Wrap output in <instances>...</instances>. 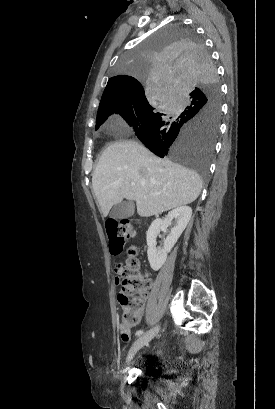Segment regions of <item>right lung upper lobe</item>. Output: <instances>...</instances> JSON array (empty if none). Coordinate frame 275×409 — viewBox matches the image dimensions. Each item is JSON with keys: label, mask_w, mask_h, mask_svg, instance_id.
<instances>
[{"label": "right lung upper lobe", "mask_w": 275, "mask_h": 409, "mask_svg": "<svg viewBox=\"0 0 275 409\" xmlns=\"http://www.w3.org/2000/svg\"><path fill=\"white\" fill-rule=\"evenodd\" d=\"M134 96H145L144 88L137 79L131 76L120 75L108 80L102 95L98 112H101L121 100L134 98Z\"/></svg>", "instance_id": "cb5924a9"}]
</instances>
